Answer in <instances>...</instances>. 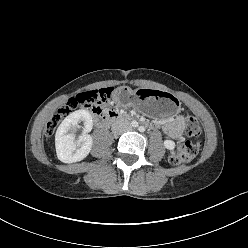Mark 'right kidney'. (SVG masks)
Instances as JSON below:
<instances>
[{
  "label": "right kidney",
  "mask_w": 248,
  "mask_h": 248,
  "mask_svg": "<svg viewBox=\"0 0 248 248\" xmlns=\"http://www.w3.org/2000/svg\"><path fill=\"white\" fill-rule=\"evenodd\" d=\"M84 123V132L75 140L73 131L78 123ZM93 121L86 110H77L68 115L59 125L55 135L57 157L64 163H74L83 160L90 153L93 139L87 134L92 130Z\"/></svg>",
  "instance_id": "1"
}]
</instances>
